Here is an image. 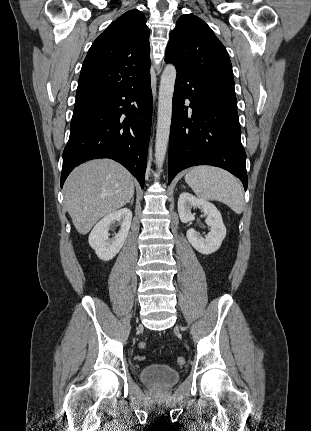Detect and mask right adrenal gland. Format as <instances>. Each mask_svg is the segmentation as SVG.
<instances>
[{"instance_id": "1", "label": "right adrenal gland", "mask_w": 311, "mask_h": 431, "mask_svg": "<svg viewBox=\"0 0 311 431\" xmlns=\"http://www.w3.org/2000/svg\"><path fill=\"white\" fill-rule=\"evenodd\" d=\"M134 198H132L131 202H128V204H131L133 206Z\"/></svg>"}]
</instances>
